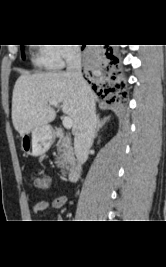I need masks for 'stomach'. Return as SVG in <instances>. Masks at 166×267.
<instances>
[{"instance_id": "1", "label": "stomach", "mask_w": 166, "mask_h": 267, "mask_svg": "<svg viewBox=\"0 0 166 267\" xmlns=\"http://www.w3.org/2000/svg\"><path fill=\"white\" fill-rule=\"evenodd\" d=\"M53 139V131L49 125L39 126L22 136L21 148L27 155L40 156L49 150Z\"/></svg>"}]
</instances>
